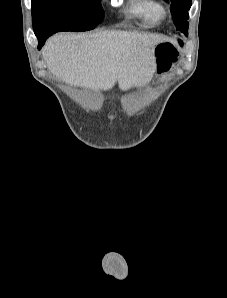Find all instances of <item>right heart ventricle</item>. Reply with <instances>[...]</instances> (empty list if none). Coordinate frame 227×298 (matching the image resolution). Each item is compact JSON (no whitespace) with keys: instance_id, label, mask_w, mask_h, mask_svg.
<instances>
[{"instance_id":"right-heart-ventricle-1","label":"right heart ventricle","mask_w":227,"mask_h":298,"mask_svg":"<svg viewBox=\"0 0 227 298\" xmlns=\"http://www.w3.org/2000/svg\"><path fill=\"white\" fill-rule=\"evenodd\" d=\"M128 12L146 27L158 25L166 16V9L158 0H130Z\"/></svg>"}]
</instances>
